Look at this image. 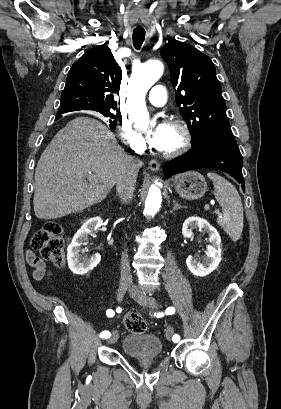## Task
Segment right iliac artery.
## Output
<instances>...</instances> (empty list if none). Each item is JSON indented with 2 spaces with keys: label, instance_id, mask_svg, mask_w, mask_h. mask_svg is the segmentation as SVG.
I'll return each mask as SVG.
<instances>
[{
  "label": "right iliac artery",
  "instance_id": "obj_1",
  "mask_svg": "<svg viewBox=\"0 0 281 409\" xmlns=\"http://www.w3.org/2000/svg\"><path fill=\"white\" fill-rule=\"evenodd\" d=\"M106 314H107L108 317H113V316H114V311L111 310V309H109V310H107ZM110 336H111V334H110L109 331H103V332L100 334V337H101V338H106V339H107V338H109Z\"/></svg>",
  "mask_w": 281,
  "mask_h": 409
}]
</instances>
